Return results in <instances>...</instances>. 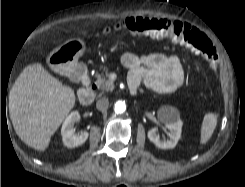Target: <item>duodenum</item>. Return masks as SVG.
<instances>
[{"label":"duodenum","mask_w":245,"mask_h":187,"mask_svg":"<svg viewBox=\"0 0 245 187\" xmlns=\"http://www.w3.org/2000/svg\"><path fill=\"white\" fill-rule=\"evenodd\" d=\"M73 77L83 83V87L77 92L79 102L84 105L90 104L95 99V96L98 93V88L91 82L90 77L82 64L78 65L74 69ZM136 92L137 90L132 93Z\"/></svg>","instance_id":"obj_1"}]
</instances>
